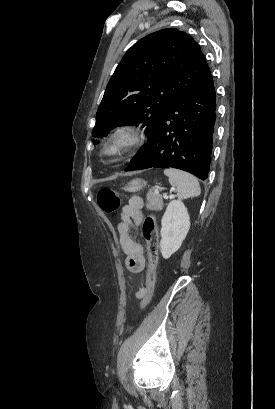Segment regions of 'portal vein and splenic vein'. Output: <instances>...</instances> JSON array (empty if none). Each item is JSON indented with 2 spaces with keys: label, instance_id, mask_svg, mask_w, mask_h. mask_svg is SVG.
Masks as SVG:
<instances>
[{
  "label": "portal vein and splenic vein",
  "instance_id": "obj_1",
  "mask_svg": "<svg viewBox=\"0 0 275 409\" xmlns=\"http://www.w3.org/2000/svg\"><path fill=\"white\" fill-rule=\"evenodd\" d=\"M174 188V186H173ZM155 190H157L158 192V188H155ZM174 194H170V196H167V194H164V198H173Z\"/></svg>",
  "mask_w": 275,
  "mask_h": 409
}]
</instances>
